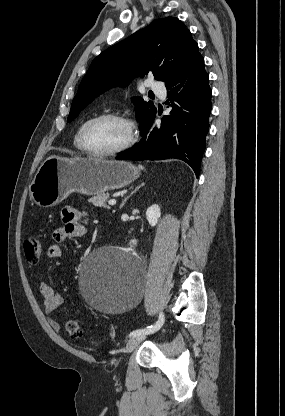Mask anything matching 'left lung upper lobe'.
Instances as JSON below:
<instances>
[{"label":"left lung upper lobe","instance_id":"left-lung-upper-lobe-1","mask_svg":"<svg viewBox=\"0 0 285 416\" xmlns=\"http://www.w3.org/2000/svg\"><path fill=\"white\" fill-rule=\"evenodd\" d=\"M201 54L190 31L177 18L155 19L146 28L103 51L91 63L74 97L67 121H72L94 98L115 86H127L136 76L153 73L168 85ZM164 60L168 68L159 67ZM141 129L156 115L154 104L132 98Z\"/></svg>","mask_w":285,"mask_h":416}]
</instances>
